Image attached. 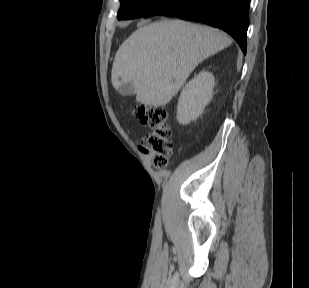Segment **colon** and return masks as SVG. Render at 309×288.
Here are the masks:
<instances>
[{
    "label": "colon",
    "instance_id": "1",
    "mask_svg": "<svg viewBox=\"0 0 309 288\" xmlns=\"http://www.w3.org/2000/svg\"><path fill=\"white\" fill-rule=\"evenodd\" d=\"M132 114L150 129V133L140 141L141 151L152 157L156 168H165L173 148L172 130L167 124V110L156 105L140 104L135 106Z\"/></svg>",
    "mask_w": 309,
    "mask_h": 288
}]
</instances>
